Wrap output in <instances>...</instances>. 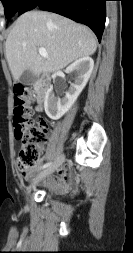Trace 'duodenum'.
I'll list each match as a JSON object with an SVG mask.
<instances>
[{"label": "duodenum", "instance_id": "duodenum-1", "mask_svg": "<svg viewBox=\"0 0 133 253\" xmlns=\"http://www.w3.org/2000/svg\"><path fill=\"white\" fill-rule=\"evenodd\" d=\"M50 87V79L46 76H42L35 82V89L37 93V110H42L43 104L47 97Z\"/></svg>", "mask_w": 133, "mask_h": 253}]
</instances>
